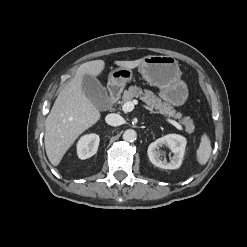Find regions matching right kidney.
<instances>
[{
	"label": "right kidney",
	"mask_w": 247,
	"mask_h": 247,
	"mask_svg": "<svg viewBox=\"0 0 247 247\" xmlns=\"http://www.w3.org/2000/svg\"><path fill=\"white\" fill-rule=\"evenodd\" d=\"M100 138L97 134H87L81 137L77 144V155L80 159H87L96 154Z\"/></svg>",
	"instance_id": "1"
}]
</instances>
